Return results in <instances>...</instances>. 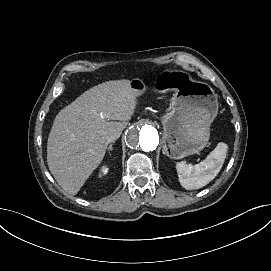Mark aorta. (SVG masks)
<instances>
[{"label": "aorta", "instance_id": "aorta-1", "mask_svg": "<svg viewBox=\"0 0 271 271\" xmlns=\"http://www.w3.org/2000/svg\"><path fill=\"white\" fill-rule=\"evenodd\" d=\"M125 141L131 149L151 152L159 144V135L151 124L140 120L127 130Z\"/></svg>", "mask_w": 271, "mask_h": 271}]
</instances>
